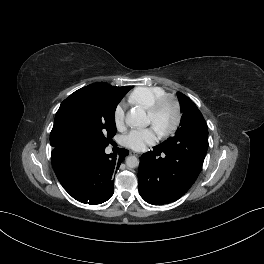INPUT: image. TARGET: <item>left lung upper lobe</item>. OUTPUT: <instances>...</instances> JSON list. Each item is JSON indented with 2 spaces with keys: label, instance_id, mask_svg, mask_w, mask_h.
<instances>
[{
  "label": "left lung upper lobe",
  "instance_id": "5c2ea615",
  "mask_svg": "<svg viewBox=\"0 0 264 264\" xmlns=\"http://www.w3.org/2000/svg\"><path fill=\"white\" fill-rule=\"evenodd\" d=\"M178 100L181 106V123L175 136L168 138L161 143V146L174 148L180 147L184 142L195 141L200 137L208 136V127L197 106L191 101L189 97L177 93Z\"/></svg>",
  "mask_w": 264,
  "mask_h": 264
}]
</instances>
